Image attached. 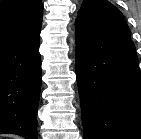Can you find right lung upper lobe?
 Listing matches in <instances>:
<instances>
[{"instance_id": "1", "label": "right lung upper lobe", "mask_w": 141, "mask_h": 139, "mask_svg": "<svg viewBox=\"0 0 141 139\" xmlns=\"http://www.w3.org/2000/svg\"><path fill=\"white\" fill-rule=\"evenodd\" d=\"M43 18L41 0L0 2V48L25 42L40 35Z\"/></svg>"}]
</instances>
